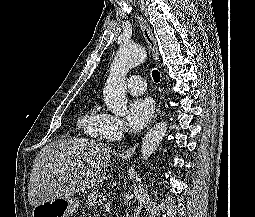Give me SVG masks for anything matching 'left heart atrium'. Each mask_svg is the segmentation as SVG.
<instances>
[{
    "mask_svg": "<svg viewBox=\"0 0 255 217\" xmlns=\"http://www.w3.org/2000/svg\"><path fill=\"white\" fill-rule=\"evenodd\" d=\"M154 105L149 98H136L129 103L127 123L131 132L142 130L151 120Z\"/></svg>",
    "mask_w": 255,
    "mask_h": 217,
    "instance_id": "obj_1",
    "label": "left heart atrium"
}]
</instances>
